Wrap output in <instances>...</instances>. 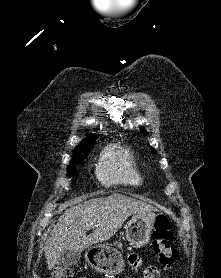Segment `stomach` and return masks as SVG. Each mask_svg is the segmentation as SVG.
<instances>
[{
    "label": "stomach",
    "mask_w": 221,
    "mask_h": 278,
    "mask_svg": "<svg viewBox=\"0 0 221 278\" xmlns=\"http://www.w3.org/2000/svg\"><path fill=\"white\" fill-rule=\"evenodd\" d=\"M155 220L154 212L133 215L126 226V238L133 247L140 248L149 242ZM86 260L93 269L104 274L115 275L127 271V268H123L122 255L109 245L91 247L86 252Z\"/></svg>",
    "instance_id": "0dacf381"
}]
</instances>
